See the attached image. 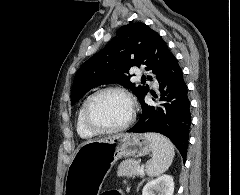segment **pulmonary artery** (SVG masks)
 I'll use <instances>...</instances> for the list:
<instances>
[{"label":"pulmonary artery","mask_w":240,"mask_h":195,"mask_svg":"<svg viewBox=\"0 0 240 195\" xmlns=\"http://www.w3.org/2000/svg\"><path fill=\"white\" fill-rule=\"evenodd\" d=\"M139 68H140V67H139ZM134 75H135V76H140V75H141V72H140V71H135V72H134Z\"/></svg>","instance_id":"e3ab8cb5"}]
</instances>
